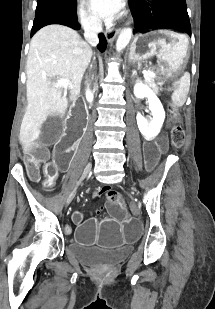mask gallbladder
I'll return each instance as SVG.
<instances>
[{"mask_svg":"<svg viewBox=\"0 0 215 309\" xmlns=\"http://www.w3.org/2000/svg\"><path fill=\"white\" fill-rule=\"evenodd\" d=\"M52 120H61V117H52ZM60 130V121H48L46 123L45 130L39 134V139L43 140L45 148H50L51 144H56L57 139L54 136H60Z\"/></svg>","mask_w":215,"mask_h":309,"instance_id":"obj_1","label":"gallbladder"}]
</instances>
